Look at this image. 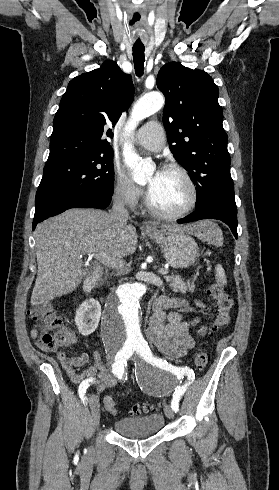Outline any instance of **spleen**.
<instances>
[{
  "mask_svg": "<svg viewBox=\"0 0 279 490\" xmlns=\"http://www.w3.org/2000/svg\"><path fill=\"white\" fill-rule=\"evenodd\" d=\"M200 238H202L204 242H208V244H214V246H222L223 244V236L219 226L213 224L210 220H204ZM215 274L217 282H220V284H224L225 286V284H227L225 270H223L220 264H217Z\"/></svg>",
  "mask_w": 279,
  "mask_h": 490,
  "instance_id": "3e777b00",
  "label": "spleen"
}]
</instances>
